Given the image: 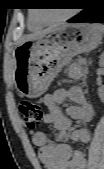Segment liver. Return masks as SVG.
I'll use <instances>...</instances> for the list:
<instances>
[{
    "label": "liver",
    "mask_w": 104,
    "mask_h": 169,
    "mask_svg": "<svg viewBox=\"0 0 104 169\" xmlns=\"http://www.w3.org/2000/svg\"><path fill=\"white\" fill-rule=\"evenodd\" d=\"M48 30H49V29H46V30H44V31H42V32L28 35V36H26V37L23 39V41H26V40L32 39V38H34V37H37V36H39V35L45 33V32L48 31Z\"/></svg>",
    "instance_id": "liver-1"
}]
</instances>
